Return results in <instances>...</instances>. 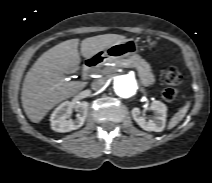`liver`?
Here are the masks:
<instances>
[{
	"label": "liver",
	"mask_w": 212,
	"mask_h": 183,
	"mask_svg": "<svg viewBox=\"0 0 212 183\" xmlns=\"http://www.w3.org/2000/svg\"><path fill=\"white\" fill-rule=\"evenodd\" d=\"M118 34L89 37L81 42V54L90 59L109 45L123 40ZM79 39L61 42L44 52L27 72L23 81L21 101L27 117L40 122L57 104L80 92L85 84L67 81L64 73L80 69Z\"/></svg>",
	"instance_id": "6515ba94"
}]
</instances>
